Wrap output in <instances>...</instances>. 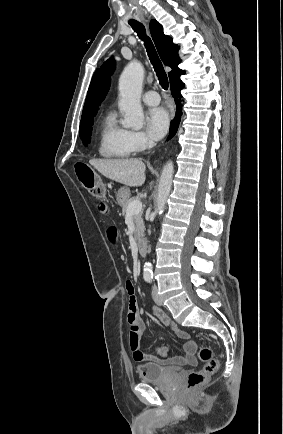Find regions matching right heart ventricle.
<instances>
[{"mask_svg": "<svg viewBox=\"0 0 283 434\" xmlns=\"http://www.w3.org/2000/svg\"><path fill=\"white\" fill-rule=\"evenodd\" d=\"M128 130L121 126L115 113L110 112L103 120L98 151L107 158H126L132 153L127 139Z\"/></svg>", "mask_w": 283, "mask_h": 434, "instance_id": "e07e8e85", "label": "right heart ventricle"}]
</instances>
